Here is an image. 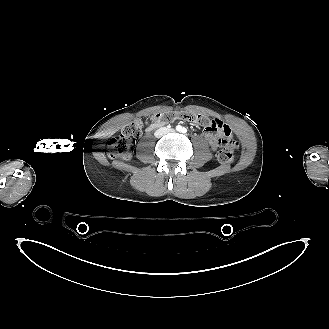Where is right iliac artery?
I'll list each match as a JSON object with an SVG mask.
<instances>
[{"instance_id":"right-iliac-artery-1","label":"right iliac artery","mask_w":329,"mask_h":329,"mask_svg":"<svg viewBox=\"0 0 329 329\" xmlns=\"http://www.w3.org/2000/svg\"><path fill=\"white\" fill-rule=\"evenodd\" d=\"M176 130H177V131H181V130H182V127H181L180 125H177V126H176Z\"/></svg>"}]
</instances>
